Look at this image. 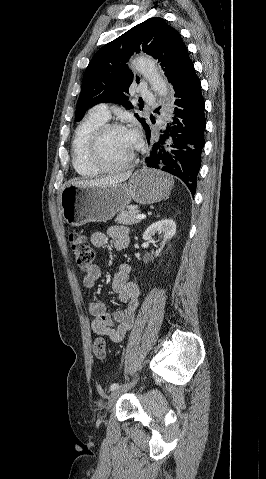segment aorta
<instances>
[{
  "instance_id": "762f6f07",
  "label": "aorta",
  "mask_w": 266,
  "mask_h": 479,
  "mask_svg": "<svg viewBox=\"0 0 266 479\" xmlns=\"http://www.w3.org/2000/svg\"><path fill=\"white\" fill-rule=\"evenodd\" d=\"M135 69L139 74L148 78L154 91L162 97L167 95V82L160 73L156 63L151 58L139 57L134 60Z\"/></svg>"
}]
</instances>
